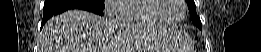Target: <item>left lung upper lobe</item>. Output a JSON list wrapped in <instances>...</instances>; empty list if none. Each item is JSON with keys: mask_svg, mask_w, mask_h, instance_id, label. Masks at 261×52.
<instances>
[{"mask_svg": "<svg viewBox=\"0 0 261 52\" xmlns=\"http://www.w3.org/2000/svg\"><path fill=\"white\" fill-rule=\"evenodd\" d=\"M188 7H189V12H190V18L191 20L195 23L198 28H202V24L200 21V18L198 17L195 9V3L194 0H186Z\"/></svg>", "mask_w": 261, "mask_h": 52, "instance_id": "1", "label": "left lung upper lobe"}]
</instances>
